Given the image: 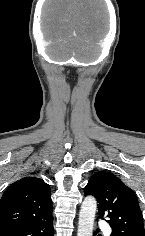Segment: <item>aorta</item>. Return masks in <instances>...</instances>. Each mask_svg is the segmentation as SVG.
<instances>
[{"label":"aorta","instance_id":"aorta-1","mask_svg":"<svg viewBox=\"0 0 145 236\" xmlns=\"http://www.w3.org/2000/svg\"><path fill=\"white\" fill-rule=\"evenodd\" d=\"M96 209L95 198L86 197L80 209L77 236H92Z\"/></svg>","mask_w":145,"mask_h":236}]
</instances>
